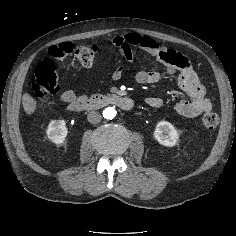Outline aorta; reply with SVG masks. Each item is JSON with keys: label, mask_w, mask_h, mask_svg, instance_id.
<instances>
[{"label": "aorta", "mask_w": 236, "mask_h": 236, "mask_svg": "<svg viewBox=\"0 0 236 236\" xmlns=\"http://www.w3.org/2000/svg\"><path fill=\"white\" fill-rule=\"evenodd\" d=\"M116 114H117V112L113 107H107L103 111L104 118L110 119V120L115 118Z\"/></svg>", "instance_id": "1"}]
</instances>
